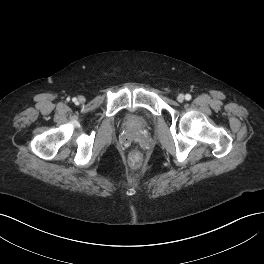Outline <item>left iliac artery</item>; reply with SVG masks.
<instances>
[{
    "label": "left iliac artery",
    "instance_id": "obj_1",
    "mask_svg": "<svg viewBox=\"0 0 264 264\" xmlns=\"http://www.w3.org/2000/svg\"><path fill=\"white\" fill-rule=\"evenodd\" d=\"M185 99H186V100H190V99H191V95H190V94H186V95H185Z\"/></svg>",
    "mask_w": 264,
    "mask_h": 264
}]
</instances>
